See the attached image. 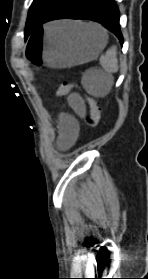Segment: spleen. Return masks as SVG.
Segmentation results:
<instances>
[{
    "label": "spleen",
    "mask_w": 148,
    "mask_h": 279,
    "mask_svg": "<svg viewBox=\"0 0 148 279\" xmlns=\"http://www.w3.org/2000/svg\"><path fill=\"white\" fill-rule=\"evenodd\" d=\"M87 29L94 30L96 26L94 24H83ZM52 32L59 30L56 27H49ZM100 64L102 65L104 72L102 73L104 79L101 82H96L90 79L88 76H84L83 86L87 92L96 97L106 96L113 85L112 73L118 71V59H117V47L112 46L104 56L100 57Z\"/></svg>",
    "instance_id": "3e777b00"
}]
</instances>
